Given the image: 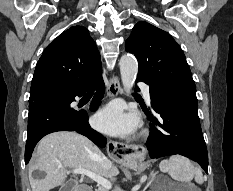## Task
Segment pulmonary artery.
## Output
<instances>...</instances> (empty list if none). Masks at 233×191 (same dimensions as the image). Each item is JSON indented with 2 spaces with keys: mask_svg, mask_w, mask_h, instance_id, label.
Here are the masks:
<instances>
[{
  "mask_svg": "<svg viewBox=\"0 0 233 191\" xmlns=\"http://www.w3.org/2000/svg\"><path fill=\"white\" fill-rule=\"evenodd\" d=\"M139 86H140V88L142 89L143 94H144L146 100H147V101H150L149 86L146 85L145 83H140Z\"/></svg>",
  "mask_w": 233,
  "mask_h": 191,
  "instance_id": "e3ab8cb5",
  "label": "pulmonary artery"
}]
</instances>
